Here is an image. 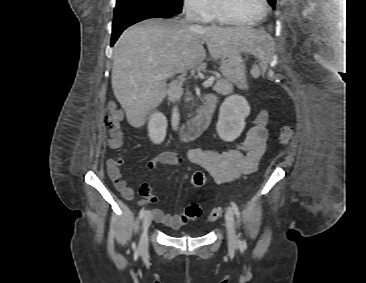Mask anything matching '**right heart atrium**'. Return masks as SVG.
I'll use <instances>...</instances> for the list:
<instances>
[{
  "instance_id": "d8ad5b80",
  "label": "right heart atrium",
  "mask_w": 366,
  "mask_h": 283,
  "mask_svg": "<svg viewBox=\"0 0 366 283\" xmlns=\"http://www.w3.org/2000/svg\"><path fill=\"white\" fill-rule=\"evenodd\" d=\"M212 0H183V6L188 15L200 20L207 16L211 9Z\"/></svg>"
}]
</instances>
